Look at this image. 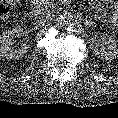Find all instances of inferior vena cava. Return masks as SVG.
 Returning <instances> with one entry per match:
<instances>
[{
  "mask_svg": "<svg viewBox=\"0 0 118 118\" xmlns=\"http://www.w3.org/2000/svg\"><path fill=\"white\" fill-rule=\"evenodd\" d=\"M47 20H48L47 16H43V17L39 18L35 23L36 27L43 26L46 23Z\"/></svg>",
  "mask_w": 118,
  "mask_h": 118,
  "instance_id": "1",
  "label": "inferior vena cava"
}]
</instances>
